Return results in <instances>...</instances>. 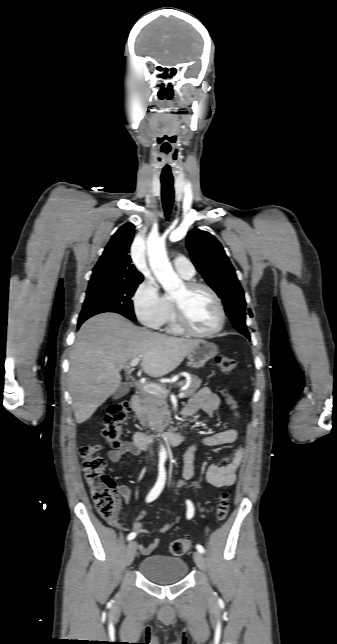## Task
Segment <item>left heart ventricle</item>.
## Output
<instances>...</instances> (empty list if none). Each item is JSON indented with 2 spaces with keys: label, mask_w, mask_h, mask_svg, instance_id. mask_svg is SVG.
Returning a JSON list of instances; mask_svg holds the SVG:
<instances>
[{
  "label": "left heart ventricle",
  "mask_w": 337,
  "mask_h": 644,
  "mask_svg": "<svg viewBox=\"0 0 337 644\" xmlns=\"http://www.w3.org/2000/svg\"><path fill=\"white\" fill-rule=\"evenodd\" d=\"M173 299L182 302L187 322L193 330L208 332L218 324V307L207 290L198 289L186 293L183 286Z\"/></svg>",
  "instance_id": "1"
}]
</instances>
